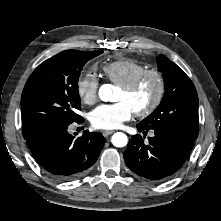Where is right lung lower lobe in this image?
I'll use <instances>...</instances> for the list:
<instances>
[{
    "label": "right lung lower lobe",
    "mask_w": 221,
    "mask_h": 221,
    "mask_svg": "<svg viewBox=\"0 0 221 221\" xmlns=\"http://www.w3.org/2000/svg\"><path fill=\"white\" fill-rule=\"evenodd\" d=\"M82 122L83 118L77 123ZM69 125H56L26 139L39 166L61 181L72 180L86 173L97 161L106 142L100 133L87 130L75 139L68 133Z\"/></svg>",
    "instance_id": "1"
}]
</instances>
